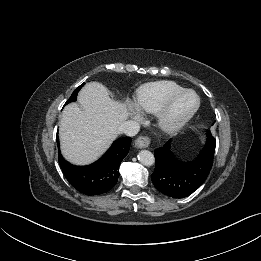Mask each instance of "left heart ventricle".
<instances>
[{"label":"left heart ventricle","instance_id":"b2bd125f","mask_svg":"<svg viewBox=\"0 0 261 261\" xmlns=\"http://www.w3.org/2000/svg\"><path fill=\"white\" fill-rule=\"evenodd\" d=\"M196 104V97L192 93H187L180 97L172 108V116L177 118L188 113Z\"/></svg>","mask_w":261,"mask_h":261}]
</instances>
